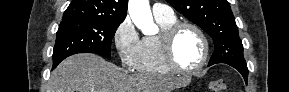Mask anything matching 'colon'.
Returning a JSON list of instances; mask_svg holds the SVG:
<instances>
[{
  "label": "colon",
  "mask_w": 289,
  "mask_h": 92,
  "mask_svg": "<svg viewBox=\"0 0 289 92\" xmlns=\"http://www.w3.org/2000/svg\"><path fill=\"white\" fill-rule=\"evenodd\" d=\"M209 87H210V90L213 92H224L227 90V84L222 79L212 81Z\"/></svg>",
  "instance_id": "1"
}]
</instances>
